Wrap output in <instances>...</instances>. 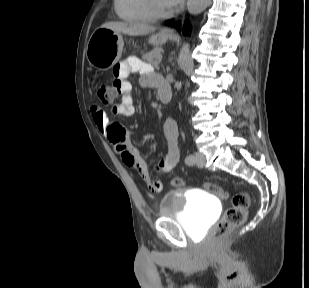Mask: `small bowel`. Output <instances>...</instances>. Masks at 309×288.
I'll return each instance as SVG.
<instances>
[{"label": "small bowel", "mask_w": 309, "mask_h": 288, "mask_svg": "<svg viewBox=\"0 0 309 288\" xmlns=\"http://www.w3.org/2000/svg\"><path fill=\"white\" fill-rule=\"evenodd\" d=\"M136 71L140 72L141 83L144 86H153L158 89L161 81H163L161 77L152 74L148 65L138 59L127 58L113 70L115 76L114 84L117 85V91L122 96L121 102L114 105L112 109L113 114L125 117L134 115L135 109L131 96V85L126 80V77L131 72ZM91 112L99 132L111 143L115 151L120 154L123 163L129 169L138 172L149 181L155 190H161V180L151 175L147 163L134 145L132 136L127 134L117 122H111L100 106H93ZM164 134L168 147L166 154L158 165V169L162 173H167L173 170L179 163L178 127L176 121L171 117L167 118L164 123Z\"/></svg>", "instance_id": "1"}]
</instances>
